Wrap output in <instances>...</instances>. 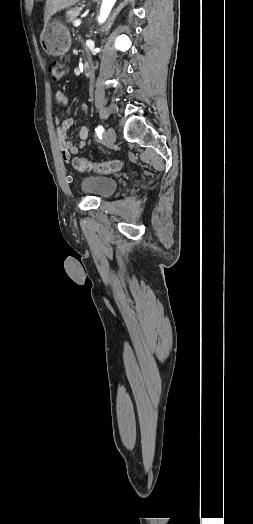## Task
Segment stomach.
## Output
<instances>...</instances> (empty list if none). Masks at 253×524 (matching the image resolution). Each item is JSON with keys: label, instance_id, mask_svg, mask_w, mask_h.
<instances>
[{"label": "stomach", "instance_id": "obj_1", "mask_svg": "<svg viewBox=\"0 0 253 524\" xmlns=\"http://www.w3.org/2000/svg\"><path fill=\"white\" fill-rule=\"evenodd\" d=\"M43 50L52 56H63L70 48L71 36L60 21H52L43 29L40 37Z\"/></svg>", "mask_w": 253, "mask_h": 524}]
</instances>
